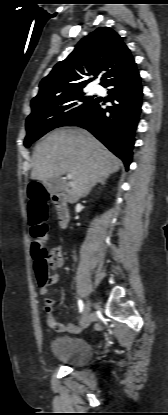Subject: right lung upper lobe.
I'll return each instance as SVG.
<instances>
[{
  "mask_svg": "<svg viewBox=\"0 0 168 415\" xmlns=\"http://www.w3.org/2000/svg\"><path fill=\"white\" fill-rule=\"evenodd\" d=\"M134 59L122 38L108 27H99L84 37L73 52L57 63L39 85V93L31 101V107L78 91L90 83L101 71V85L121 74L132 65Z\"/></svg>",
  "mask_w": 168,
  "mask_h": 415,
  "instance_id": "right-lung-upper-lobe-1",
  "label": "right lung upper lobe"
}]
</instances>
